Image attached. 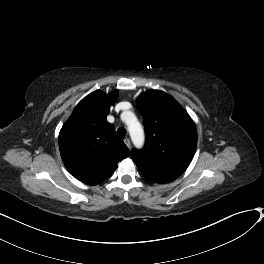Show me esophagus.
<instances>
[{"mask_svg":"<svg viewBox=\"0 0 264 264\" xmlns=\"http://www.w3.org/2000/svg\"><path fill=\"white\" fill-rule=\"evenodd\" d=\"M124 143H125V145H126L128 148L131 146V142H130V140H129L128 138H125V139H124Z\"/></svg>","mask_w":264,"mask_h":264,"instance_id":"obj_1","label":"esophagus"}]
</instances>
